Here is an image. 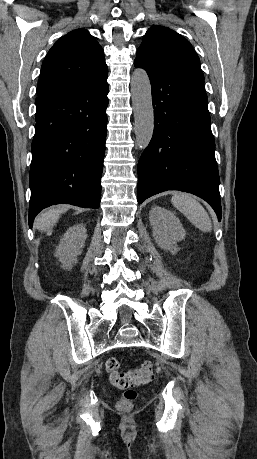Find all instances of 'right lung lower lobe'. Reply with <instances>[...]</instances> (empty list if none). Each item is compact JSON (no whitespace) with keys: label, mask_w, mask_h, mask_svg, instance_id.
<instances>
[{"label":"right lung lower lobe","mask_w":257,"mask_h":459,"mask_svg":"<svg viewBox=\"0 0 257 459\" xmlns=\"http://www.w3.org/2000/svg\"><path fill=\"white\" fill-rule=\"evenodd\" d=\"M107 76L78 90L36 99L29 226L44 208H99L108 106Z\"/></svg>","instance_id":"98d812e1"}]
</instances>
